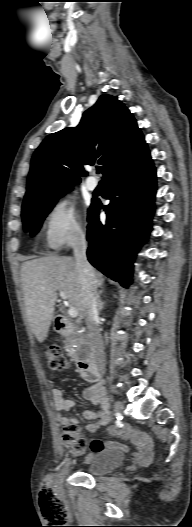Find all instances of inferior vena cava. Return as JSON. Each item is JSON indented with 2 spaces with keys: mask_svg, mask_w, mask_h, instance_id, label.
Masks as SVG:
<instances>
[{
  "mask_svg": "<svg viewBox=\"0 0 192 527\" xmlns=\"http://www.w3.org/2000/svg\"><path fill=\"white\" fill-rule=\"evenodd\" d=\"M72 248L77 264V270L83 292V304L86 311V324L91 335L98 366L102 373L105 368L104 343L98 328V301L95 274L86 256V240L82 230H78L72 238Z\"/></svg>",
  "mask_w": 192,
  "mask_h": 527,
  "instance_id": "inferior-vena-cava-1",
  "label": "inferior vena cava"
}]
</instances>
